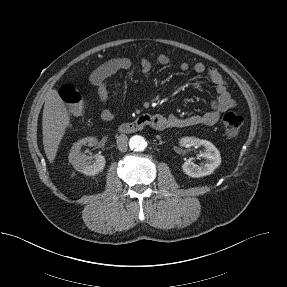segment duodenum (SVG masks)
Instances as JSON below:
<instances>
[{"label":"duodenum","mask_w":287,"mask_h":287,"mask_svg":"<svg viewBox=\"0 0 287 287\" xmlns=\"http://www.w3.org/2000/svg\"><path fill=\"white\" fill-rule=\"evenodd\" d=\"M160 126V120L156 115L143 114L136 118L134 121L122 123L119 126L121 133H134L141 131L145 127H151L158 129Z\"/></svg>","instance_id":"obj_1"}]
</instances>
